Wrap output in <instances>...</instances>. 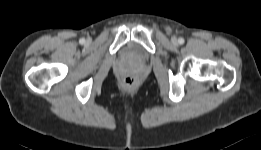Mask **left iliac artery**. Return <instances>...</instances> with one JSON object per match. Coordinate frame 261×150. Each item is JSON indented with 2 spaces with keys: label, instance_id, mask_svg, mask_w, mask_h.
<instances>
[{
  "label": "left iliac artery",
  "instance_id": "left-iliac-artery-1",
  "mask_svg": "<svg viewBox=\"0 0 261 150\" xmlns=\"http://www.w3.org/2000/svg\"><path fill=\"white\" fill-rule=\"evenodd\" d=\"M178 42H179V44H183L184 43V39L183 38H179Z\"/></svg>",
  "mask_w": 261,
  "mask_h": 150
}]
</instances>
